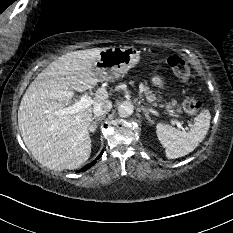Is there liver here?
I'll return each instance as SVG.
<instances>
[{
	"label": "liver",
	"mask_w": 233,
	"mask_h": 233,
	"mask_svg": "<svg viewBox=\"0 0 233 233\" xmlns=\"http://www.w3.org/2000/svg\"><path fill=\"white\" fill-rule=\"evenodd\" d=\"M104 48L69 52L50 63L29 85L18 110L22 139L36 160L52 170L77 169L91 154L92 108L108 99L99 88L92 104L74 114L61 113L74 91L92 89L102 80L94 63Z\"/></svg>",
	"instance_id": "6515ba94"
}]
</instances>
